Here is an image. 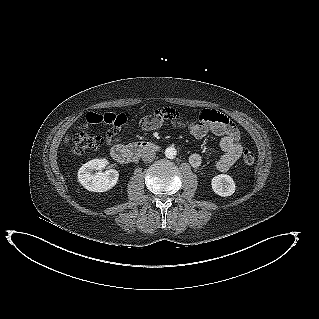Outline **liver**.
Listing matches in <instances>:
<instances>
[{
	"label": "liver",
	"instance_id": "obj_1",
	"mask_svg": "<svg viewBox=\"0 0 319 319\" xmlns=\"http://www.w3.org/2000/svg\"><path fill=\"white\" fill-rule=\"evenodd\" d=\"M68 142H69V136L65 138V143H68Z\"/></svg>",
	"mask_w": 319,
	"mask_h": 319
}]
</instances>
